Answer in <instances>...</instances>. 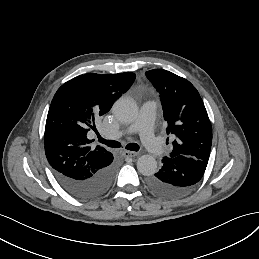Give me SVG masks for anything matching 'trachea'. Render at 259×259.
<instances>
[{"instance_id": "3493384b", "label": "trachea", "mask_w": 259, "mask_h": 259, "mask_svg": "<svg viewBox=\"0 0 259 259\" xmlns=\"http://www.w3.org/2000/svg\"><path fill=\"white\" fill-rule=\"evenodd\" d=\"M97 137H98V141L100 143H103V144L107 145L108 147L120 148L122 146L120 142L114 141V140H106V139L102 138L99 134H97ZM125 148L127 150H131V151H138L139 145L136 144V143H129V144L126 145Z\"/></svg>"}]
</instances>
